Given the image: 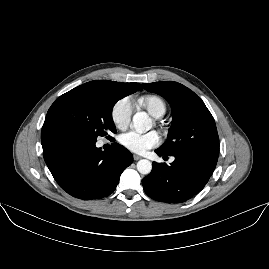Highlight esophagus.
Returning <instances> with one entry per match:
<instances>
[{"mask_svg":"<svg viewBox=\"0 0 269 269\" xmlns=\"http://www.w3.org/2000/svg\"><path fill=\"white\" fill-rule=\"evenodd\" d=\"M133 157H134L135 161H138V160L142 159V157L137 155V154H134Z\"/></svg>","mask_w":269,"mask_h":269,"instance_id":"esophagus-1","label":"esophagus"}]
</instances>
